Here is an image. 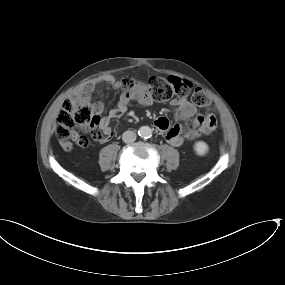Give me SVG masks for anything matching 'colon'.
<instances>
[{"label": "colon", "instance_id": "1", "mask_svg": "<svg viewBox=\"0 0 285 285\" xmlns=\"http://www.w3.org/2000/svg\"><path fill=\"white\" fill-rule=\"evenodd\" d=\"M119 83L126 93H132L138 89L137 84L131 77L123 78ZM144 91L160 102L168 101L177 96L183 97L191 93V101L194 105L206 108L211 103L204 90L194 89L191 81L175 76L167 78L154 77L144 85ZM92 97L93 90L86 86L81 90L79 100H66L63 102L56 125V134L62 142L68 143L72 139L75 128L84 134L89 133L94 141H101L106 138L105 130L100 128L97 117L91 114L88 100ZM205 126V133L212 131L216 127V120L214 118L208 120Z\"/></svg>", "mask_w": 285, "mask_h": 285}]
</instances>
